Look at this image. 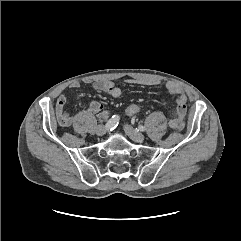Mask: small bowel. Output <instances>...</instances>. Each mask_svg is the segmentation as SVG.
Masks as SVG:
<instances>
[{
	"mask_svg": "<svg viewBox=\"0 0 241 241\" xmlns=\"http://www.w3.org/2000/svg\"><path fill=\"white\" fill-rule=\"evenodd\" d=\"M129 84H138V85H158L159 82L152 79H127ZM86 83H92V86L95 90L99 92H104L110 95L112 98L117 99L121 96L122 90L114 82L110 80H95L91 82L86 80ZM80 83L78 81H73L69 87L71 89L78 88ZM165 87L169 94L175 97L176 106L170 114L169 124L172 128L182 122L186 112H187V95L185 91L175 82L168 81L165 84ZM67 102V96L65 94H60L57 98L56 103V117L58 123L63 127H69L74 121V117L69 114L65 105ZM88 109L91 112L97 113L99 117L106 118L108 116V111L104 108L103 104L97 100H92L89 102Z\"/></svg>",
	"mask_w": 241,
	"mask_h": 241,
	"instance_id": "c3829d8e",
	"label": "small bowel"
}]
</instances>
